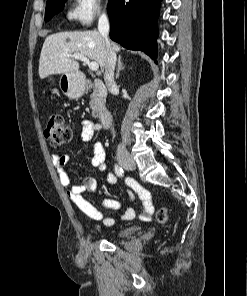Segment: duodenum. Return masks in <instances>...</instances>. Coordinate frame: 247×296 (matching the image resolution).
I'll list each match as a JSON object with an SVG mask.
<instances>
[{
	"label": "duodenum",
	"instance_id": "duodenum-1",
	"mask_svg": "<svg viewBox=\"0 0 247 296\" xmlns=\"http://www.w3.org/2000/svg\"><path fill=\"white\" fill-rule=\"evenodd\" d=\"M90 91L93 95V98L97 102H101L107 95V89L103 81L101 80H93L90 82ZM98 118L100 120L101 125L104 128H107L112 123L113 117L109 110L105 108H100L98 112Z\"/></svg>",
	"mask_w": 247,
	"mask_h": 296
}]
</instances>
